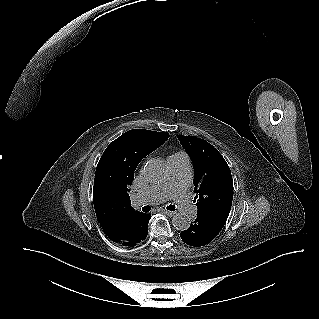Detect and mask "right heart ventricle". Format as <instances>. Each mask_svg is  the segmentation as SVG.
Masks as SVG:
<instances>
[{"label": "right heart ventricle", "mask_w": 319, "mask_h": 319, "mask_svg": "<svg viewBox=\"0 0 319 319\" xmlns=\"http://www.w3.org/2000/svg\"><path fill=\"white\" fill-rule=\"evenodd\" d=\"M178 155H182V153H176V154H174L172 156H178Z\"/></svg>", "instance_id": "1"}]
</instances>
